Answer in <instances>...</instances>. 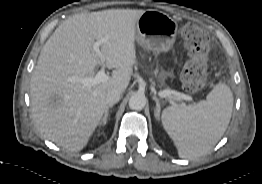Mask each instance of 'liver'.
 Here are the masks:
<instances>
[{
	"label": "liver",
	"instance_id": "liver-1",
	"mask_svg": "<svg viewBox=\"0 0 262 184\" xmlns=\"http://www.w3.org/2000/svg\"><path fill=\"white\" fill-rule=\"evenodd\" d=\"M137 9H109L77 14L61 23L44 44L30 82L31 110L36 127L48 140L71 152L81 151L105 113L108 91L123 93L136 64ZM114 68L105 82L91 88L80 79L93 77L100 58ZM74 79H77L73 81Z\"/></svg>",
	"mask_w": 262,
	"mask_h": 184
}]
</instances>
